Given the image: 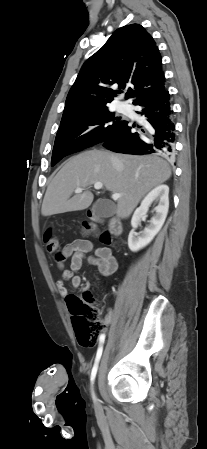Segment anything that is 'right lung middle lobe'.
Returning a JSON list of instances; mask_svg holds the SVG:
<instances>
[{
    "mask_svg": "<svg viewBox=\"0 0 207 449\" xmlns=\"http://www.w3.org/2000/svg\"><path fill=\"white\" fill-rule=\"evenodd\" d=\"M108 122L111 123L106 124ZM122 123L121 118L115 117L107 108L62 119L55 138L51 165L54 166L67 155L104 142ZM93 125L99 126L90 134L81 136L88 126Z\"/></svg>",
    "mask_w": 207,
    "mask_h": 449,
    "instance_id": "dd1d6c3e",
    "label": "right lung middle lobe"
}]
</instances>
